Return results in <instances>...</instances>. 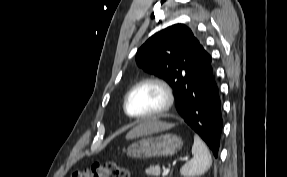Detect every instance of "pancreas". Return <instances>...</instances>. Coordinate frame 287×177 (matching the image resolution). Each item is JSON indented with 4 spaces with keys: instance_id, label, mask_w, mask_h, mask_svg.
Instances as JSON below:
<instances>
[{
    "instance_id": "obj_1",
    "label": "pancreas",
    "mask_w": 287,
    "mask_h": 177,
    "mask_svg": "<svg viewBox=\"0 0 287 177\" xmlns=\"http://www.w3.org/2000/svg\"><path fill=\"white\" fill-rule=\"evenodd\" d=\"M145 173L147 175H152V176H159L160 174V167L159 166H151L150 168H147L145 170Z\"/></svg>"
}]
</instances>
